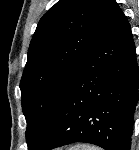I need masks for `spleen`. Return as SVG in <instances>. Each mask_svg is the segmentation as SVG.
Instances as JSON below:
<instances>
[{
    "label": "spleen",
    "instance_id": "1",
    "mask_svg": "<svg viewBox=\"0 0 139 150\" xmlns=\"http://www.w3.org/2000/svg\"><path fill=\"white\" fill-rule=\"evenodd\" d=\"M72 150H101V149L95 146L82 145V146H75L74 148H72Z\"/></svg>",
    "mask_w": 139,
    "mask_h": 150
}]
</instances>
